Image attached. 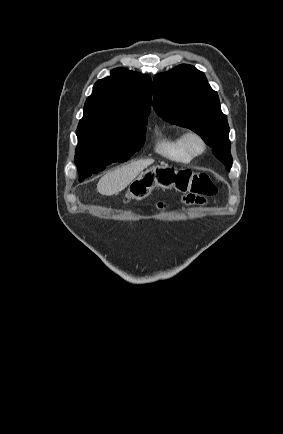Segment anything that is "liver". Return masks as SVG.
Returning <instances> with one entry per match:
<instances>
[{
  "instance_id": "obj_1",
  "label": "liver",
  "mask_w": 283,
  "mask_h": 434,
  "mask_svg": "<svg viewBox=\"0 0 283 434\" xmlns=\"http://www.w3.org/2000/svg\"><path fill=\"white\" fill-rule=\"evenodd\" d=\"M153 159L134 161L105 174L97 184L100 194L111 196L124 190L145 168L153 164Z\"/></svg>"
}]
</instances>
